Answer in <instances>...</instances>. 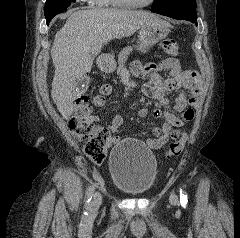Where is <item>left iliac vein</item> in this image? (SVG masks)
I'll return each instance as SVG.
<instances>
[{
  "mask_svg": "<svg viewBox=\"0 0 240 238\" xmlns=\"http://www.w3.org/2000/svg\"><path fill=\"white\" fill-rule=\"evenodd\" d=\"M177 202H178V197L174 192H172L171 195H170V203L172 205H176Z\"/></svg>",
  "mask_w": 240,
  "mask_h": 238,
  "instance_id": "obj_1",
  "label": "left iliac vein"
}]
</instances>
